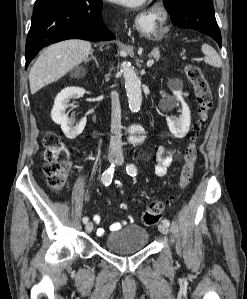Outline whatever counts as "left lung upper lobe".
Masks as SVG:
<instances>
[{"label": "left lung upper lobe", "instance_id": "left-lung-upper-lobe-1", "mask_svg": "<svg viewBox=\"0 0 247 299\" xmlns=\"http://www.w3.org/2000/svg\"><path fill=\"white\" fill-rule=\"evenodd\" d=\"M175 0H163L164 5L172 4Z\"/></svg>", "mask_w": 247, "mask_h": 299}]
</instances>
